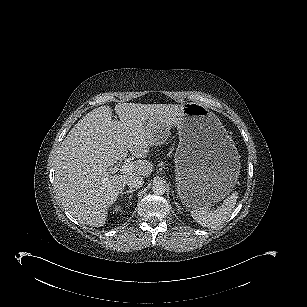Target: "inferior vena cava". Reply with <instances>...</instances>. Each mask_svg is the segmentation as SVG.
<instances>
[{"mask_svg": "<svg viewBox=\"0 0 307 307\" xmlns=\"http://www.w3.org/2000/svg\"><path fill=\"white\" fill-rule=\"evenodd\" d=\"M144 181L141 176H133L127 180V185L132 188H140L143 185Z\"/></svg>", "mask_w": 307, "mask_h": 307, "instance_id": "602c4592", "label": "inferior vena cava"}]
</instances>
